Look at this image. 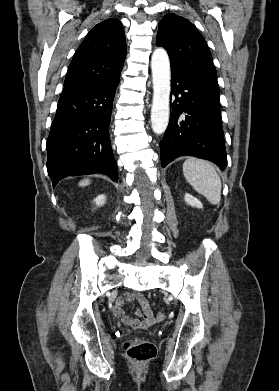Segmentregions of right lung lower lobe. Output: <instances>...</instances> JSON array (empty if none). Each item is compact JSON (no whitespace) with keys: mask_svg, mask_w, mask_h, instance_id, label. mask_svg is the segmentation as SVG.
I'll return each instance as SVG.
<instances>
[{"mask_svg":"<svg viewBox=\"0 0 279 391\" xmlns=\"http://www.w3.org/2000/svg\"><path fill=\"white\" fill-rule=\"evenodd\" d=\"M120 76L98 87L63 95L47 140L53 187L67 176L103 173L118 180L109 138L112 101Z\"/></svg>","mask_w":279,"mask_h":391,"instance_id":"obj_1","label":"right lung lower lobe"}]
</instances>
